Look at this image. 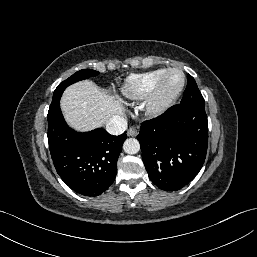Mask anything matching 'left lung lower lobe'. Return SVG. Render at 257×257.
I'll list each match as a JSON object with an SVG mask.
<instances>
[{"label":"left lung lower lobe","mask_w":257,"mask_h":257,"mask_svg":"<svg viewBox=\"0 0 257 257\" xmlns=\"http://www.w3.org/2000/svg\"><path fill=\"white\" fill-rule=\"evenodd\" d=\"M151 181L176 191L192 181L205 161L208 120L205 106L177 104L141 124L137 136Z\"/></svg>","instance_id":"left-lung-lower-lobe-1"}]
</instances>
